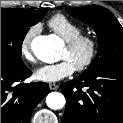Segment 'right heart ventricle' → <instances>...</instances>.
<instances>
[{
  "label": "right heart ventricle",
  "mask_w": 123,
  "mask_h": 123,
  "mask_svg": "<svg viewBox=\"0 0 123 123\" xmlns=\"http://www.w3.org/2000/svg\"><path fill=\"white\" fill-rule=\"evenodd\" d=\"M49 28L64 41L82 33V27L63 14H57L48 21Z\"/></svg>",
  "instance_id": "right-heart-ventricle-1"
}]
</instances>
